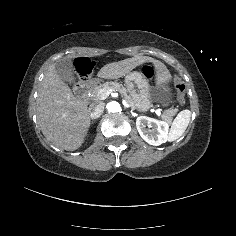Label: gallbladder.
<instances>
[{
  "instance_id": "1",
  "label": "gallbladder",
  "mask_w": 236,
  "mask_h": 236,
  "mask_svg": "<svg viewBox=\"0 0 236 236\" xmlns=\"http://www.w3.org/2000/svg\"><path fill=\"white\" fill-rule=\"evenodd\" d=\"M57 76L62 80H69L74 77L73 70L71 68V60L68 57H63L57 60L54 64Z\"/></svg>"
}]
</instances>
